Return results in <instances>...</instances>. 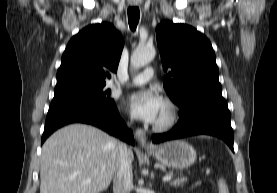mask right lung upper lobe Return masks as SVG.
<instances>
[{"mask_svg":"<svg viewBox=\"0 0 277 193\" xmlns=\"http://www.w3.org/2000/svg\"><path fill=\"white\" fill-rule=\"evenodd\" d=\"M124 40L112 24H93L69 41L57 71L55 93L105 85L116 72Z\"/></svg>","mask_w":277,"mask_h":193,"instance_id":"cb5924a9","label":"right lung upper lobe"}]
</instances>
